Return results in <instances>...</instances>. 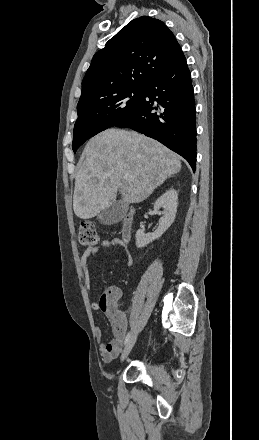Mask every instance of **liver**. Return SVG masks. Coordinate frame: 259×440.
<instances>
[{"instance_id":"liver-1","label":"liver","mask_w":259,"mask_h":440,"mask_svg":"<svg viewBox=\"0 0 259 440\" xmlns=\"http://www.w3.org/2000/svg\"><path fill=\"white\" fill-rule=\"evenodd\" d=\"M181 170L180 157L158 141L121 129H107L87 143L75 177L73 209L90 219L117 197L140 203ZM129 174L133 180H126Z\"/></svg>"}]
</instances>
